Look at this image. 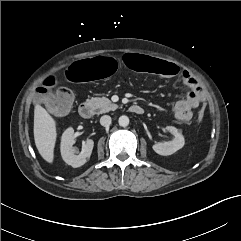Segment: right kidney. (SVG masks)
<instances>
[{
  "label": "right kidney",
  "mask_w": 241,
  "mask_h": 241,
  "mask_svg": "<svg viewBox=\"0 0 241 241\" xmlns=\"http://www.w3.org/2000/svg\"><path fill=\"white\" fill-rule=\"evenodd\" d=\"M76 140V135L73 128H68L64 131L61 139V156L63 160L74 168L81 167L90 158L94 142L88 139L84 142L83 149L77 153L73 147Z\"/></svg>",
  "instance_id": "right-kidney-1"
}]
</instances>
